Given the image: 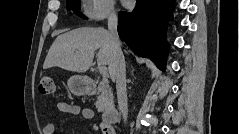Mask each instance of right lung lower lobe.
<instances>
[{"label": "right lung lower lobe", "instance_id": "right-lung-lower-lobe-1", "mask_svg": "<svg viewBox=\"0 0 239 134\" xmlns=\"http://www.w3.org/2000/svg\"><path fill=\"white\" fill-rule=\"evenodd\" d=\"M173 0H136L132 12H120V38L138 56L150 58L165 70L168 44L165 33L173 12Z\"/></svg>", "mask_w": 239, "mask_h": 134}]
</instances>
